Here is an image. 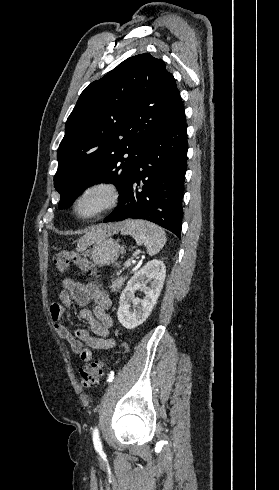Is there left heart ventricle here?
I'll list each match as a JSON object with an SVG mask.
<instances>
[{
	"label": "left heart ventricle",
	"mask_w": 279,
	"mask_h": 490,
	"mask_svg": "<svg viewBox=\"0 0 279 490\" xmlns=\"http://www.w3.org/2000/svg\"><path fill=\"white\" fill-rule=\"evenodd\" d=\"M101 198H102V196L98 192L89 193L82 203V206H81L82 209L88 210V209L92 208L93 206H95L100 201Z\"/></svg>",
	"instance_id": "obj_1"
}]
</instances>
